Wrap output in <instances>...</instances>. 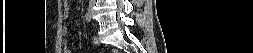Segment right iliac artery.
I'll return each mask as SVG.
<instances>
[{
	"mask_svg": "<svg viewBox=\"0 0 253 53\" xmlns=\"http://www.w3.org/2000/svg\"><path fill=\"white\" fill-rule=\"evenodd\" d=\"M84 17L87 22L91 21V15L89 13H86Z\"/></svg>",
	"mask_w": 253,
	"mask_h": 53,
	"instance_id": "82829eb1",
	"label": "right iliac artery"
}]
</instances>
